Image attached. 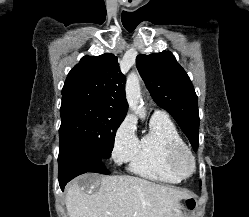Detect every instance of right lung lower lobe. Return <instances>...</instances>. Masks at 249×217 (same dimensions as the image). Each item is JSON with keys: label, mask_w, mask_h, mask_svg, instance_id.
<instances>
[{"label": "right lung lower lobe", "mask_w": 249, "mask_h": 217, "mask_svg": "<svg viewBox=\"0 0 249 217\" xmlns=\"http://www.w3.org/2000/svg\"><path fill=\"white\" fill-rule=\"evenodd\" d=\"M59 184L61 189L74 177L86 173L96 172L110 174L94 152L72 142L60 143L59 157Z\"/></svg>", "instance_id": "obj_1"}]
</instances>
